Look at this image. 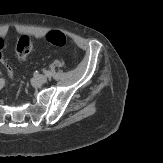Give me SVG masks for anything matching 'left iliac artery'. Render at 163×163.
Segmentation results:
<instances>
[{"label": "left iliac artery", "mask_w": 163, "mask_h": 163, "mask_svg": "<svg viewBox=\"0 0 163 163\" xmlns=\"http://www.w3.org/2000/svg\"><path fill=\"white\" fill-rule=\"evenodd\" d=\"M44 73H45V75H46L47 77H49V78L52 76V74H51L50 71H47V70H46Z\"/></svg>", "instance_id": "44dca946"}]
</instances>
